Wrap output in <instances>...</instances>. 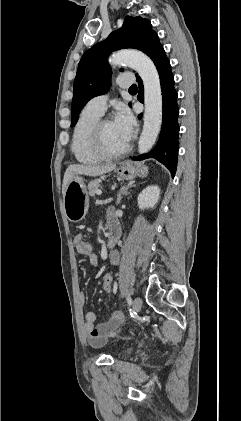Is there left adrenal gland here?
Masks as SVG:
<instances>
[{
  "label": "left adrenal gland",
  "mask_w": 241,
  "mask_h": 421,
  "mask_svg": "<svg viewBox=\"0 0 241 421\" xmlns=\"http://www.w3.org/2000/svg\"><path fill=\"white\" fill-rule=\"evenodd\" d=\"M131 187H135V184H133V183H129V184H127V185H123V186H121V188H120V190H119V193H118V196H117V205H119L120 204V202H121V199H122V196L123 195H128L129 194V189L131 188Z\"/></svg>",
  "instance_id": "a2214340"
}]
</instances>
